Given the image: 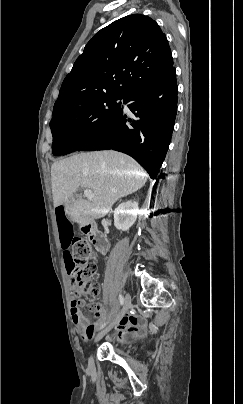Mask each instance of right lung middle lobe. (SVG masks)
Masks as SVG:
<instances>
[{
  "mask_svg": "<svg viewBox=\"0 0 243 404\" xmlns=\"http://www.w3.org/2000/svg\"><path fill=\"white\" fill-rule=\"evenodd\" d=\"M122 97H102L52 118V152L55 156L76 151L97 135L117 114Z\"/></svg>",
  "mask_w": 243,
  "mask_h": 404,
  "instance_id": "right-lung-middle-lobe-1",
  "label": "right lung middle lobe"
}]
</instances>
